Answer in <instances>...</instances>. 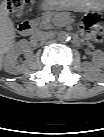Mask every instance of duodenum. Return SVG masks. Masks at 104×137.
Masks as SVG:
<instances>
[{
  "instance_id": "1",
  "label": "duodenum",
  "mask_w": 104,
  "mask_h": 137,
  "mask_svg": "<svg viewBox=\"0 0 104 137\" xmlns=\"http://www.w3.org/2000/svg\"><path fill=\"white\" fill-rule=\"evenodd\" d=\"M35 29V24L31 21H24L19 25V32L23 36L30 35Z\"/></svg>"
}]
</instances>
